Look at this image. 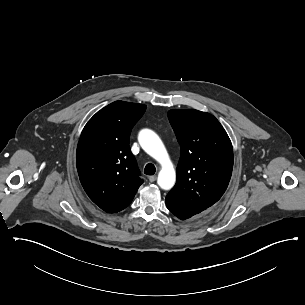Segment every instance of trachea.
I'll list each match as a JSON object with an SVG mask.
<instances>
[{"label":"trachea","instance_id":"1","mask_svg":"<svg viewBox=\"0 0 305 305\" xmlns=\"http://www.w3.org/2000/svg\"><path fill=\"white\" fill-rule=\"evenodd\" d=\"M155 172H156V168H155L154 164L148 163V164L145 166L144 173H145L146 175H154Z\"/></svg>","mask_w":305,"mask_h":305}]
</instances>
